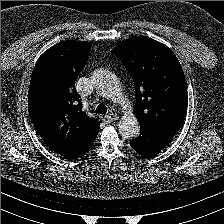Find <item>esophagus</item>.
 <instances>
[{
  "label": "esophagus",
  "mask_w": 224,
  "mask_h": 224,
  "mask_svg": "<svg viewBox=\"0 0 224 224\" xmlns=\"http://www.w3.org/2000/svg\"><path fill=\"white\" fill-rule=\"evenodd\" d=\"M103 120L106 123H111L113 121L118 120V116L116 114L111 113V114L105 115Z\"/></svg>",
  "instance_id": "obj_1"
}]
</instances>
